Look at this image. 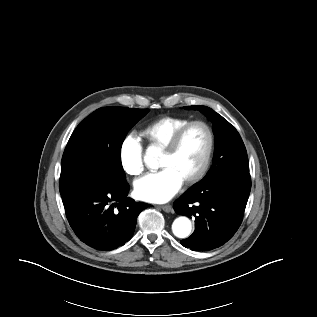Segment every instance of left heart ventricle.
<instances>
[{"mask_svg": "<svg viewBox=\"0 0 317 317\" xmlns=\"http://www.w3.org/2000/svg\"><path fill=\"white\" fill-rule=\"evenodd\" d=\"M207 147L208 134L206 130L199 125L193 126L186 132L174 155L162 154L160 167L172 168L184 181L200 168Z\"/></svg>", "mask_w": 317, "mask_h": 317, "instance_id": "obj_1", "label": "left heart ventricle"}]
</instances>
